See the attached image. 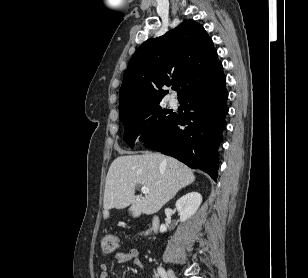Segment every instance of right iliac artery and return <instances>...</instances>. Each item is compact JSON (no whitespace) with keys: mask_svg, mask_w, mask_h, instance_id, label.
Listing matches in <instances>:
<instances>
[{"mask_svg":"<svg viewBox=\"0 0 308 278\" xmlns=\"http://www.w3.org/2000/svg\"><path fill=\"white\" fill-rule=\"evenodd\" d=\"M157 270H158V273H159V275L161 276V278H167V274H166L164 268L158 267Z\"/></svg>","mask_w":308,"mask_h":278,"instance_id":"82829eb1","label":"right iliac artery"}]
</instances>
